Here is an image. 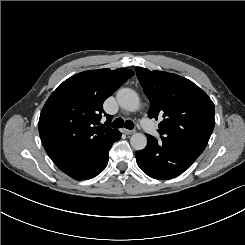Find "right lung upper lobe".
<instances>
[{
    "instance_id": "1",
    "label": "right lung upper lobe",
    "mask_w": 245,
    "mask_h": 245,
    "mask_svg": "<svg viewBox=\"0 0 245 245\" xmlns=\"http://www.w3.org/2000/svg\"><path fill=\"white\" fill-rule=\"evenodd\" d=\"M133 75L126 68L84 71L68 78L50 95L40 114L39 134L56 165L117 131L100 124L102 105Z\"/></svg>"
}]
</instances>
